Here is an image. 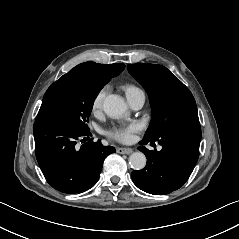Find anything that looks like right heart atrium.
<instances>
[{
	"label": "right heart atrium",
	"mask_w": 239,
	"mask_h": 239,
	"mask_svg": "<svg viewBox=\"0 0 239 239\" xmlns=\"http://www.w3.org/2000/svg\"><path fill=\"white\" fill-rule=\"evenodd\" d=\"M107 92V87L100 88L93 97L91 108L93 111L102 107L105 94Z\"/></svg>",
	"instance_id": "obj_1"
}]
</instances>
